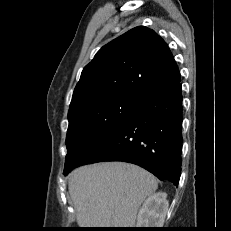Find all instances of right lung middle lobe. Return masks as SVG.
Listing matches in <instances>:
<instances>
[{"label": "right lung middle lobe", "instance_id": "obj_1", "mask_svg": "<svg viewBox=\"0 0 231 231\" xmlns=\"http://www.w3.org/2000/svg\"><path fill=\"white\" fill-rule=\"evenodd\" d=\"M140 97L118 94L68 113L65 168L76 166L138 108Z\"/></svg>", "mask_w": 231, "mask_h": 231}]
</instances>
